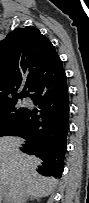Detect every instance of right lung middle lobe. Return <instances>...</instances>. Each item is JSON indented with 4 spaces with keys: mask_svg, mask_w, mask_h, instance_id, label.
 <instances>
[{
    "mask_svg": "<svg viewBox=\"0 0 89 203\" xmlns=\"http://www.w3.org/2000/svg\"><path fill=\"white\" fill-rule=\"evenodd\" d=\"M27 111L28 108L19 105L18 98L0 105V136L9 135Z\"/></svg>",
    "mask_w": 89,
    "mask_h": 203,
    "instance_id": "obj_1",
    "label": "right lung middle lobe"
}]
</instances>
